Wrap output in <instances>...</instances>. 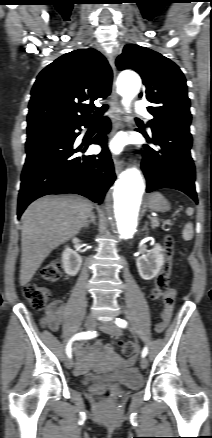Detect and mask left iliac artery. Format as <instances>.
Listing matches in <instances>:
<instances>
[{
    "label": "left iliac artery",
    "instance_id": "44dca946",
    "mask_svg": "<svg viewBox=\"0 0 212 438\" xmlns=\"http://www.w3.org/2000/svg\"><path fill=\"white\" fill-rule=\"evenodd\" d=\"M116 325L121 327V328H125L127 326V322L123 319L117 318L115 321ZM148 354V348L144 347V349L142 350V357H145Z\"/></svg>",
    "mask_w": 212,
    "mask_h": 438
}]
</instances>
